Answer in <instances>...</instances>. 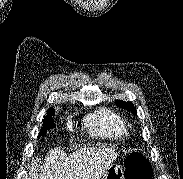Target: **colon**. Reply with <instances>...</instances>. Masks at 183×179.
Instances as JSON below:
<instances>
[{
    "instance_id": "5ec220e1",
    "label": "colon",
    "mask_w": 183,
    "mask_h": 179,
    "mask_svg": "<svg viewBox=\"0 0 183 179\" xmlns=\"http://www.w3.org/2000/svg\"><path fill=\"white\" fill-rule=\"evenodd\" d=\"M126 179H151L148 162L139 152H132L126 159Z\"/></svg>"
}]
</instances>
